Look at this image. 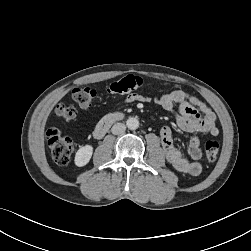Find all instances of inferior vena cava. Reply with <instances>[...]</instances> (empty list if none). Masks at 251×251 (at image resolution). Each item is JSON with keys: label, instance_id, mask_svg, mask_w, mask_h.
Wrapping results in <instances>:
<instances>
[{"label": "inferior vena cava", "instance_id": "602c4592", "mask_svg": "<svg viewBox=\"0 0 251 251\" xmlns=\"http://www.w3.org/2000/svg\"><path fill=\"white\" fill-rule=\"evenodd\" d=\"M126 130V126L123 123H115L112 128H111V132L114 135H119L124 133Z\"/></svg>", "mask_w": 251, "mask_h": 251}]
</instances>
